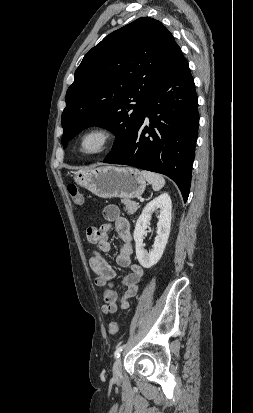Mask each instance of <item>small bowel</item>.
<instances>
[{"mask_svg":"<svg viewBox=\"0 0 253 413\" xmlns=\"http://www.w3.org/2000/svg\"><path fill=\"white\" fill-rule=\"evenodd\" d=\"M105 223L100 227L90 226L86 230V238L89 243L95 244L98 250L92 252L89 265L95 273V284L104 288V303L102 310L104 313H115L118 310H126L138 291V284L143 277V268L132 260V236L130 224L127 219L121 216L116 205H108L103 210ZM112 225L115 226L117 234L123 241V245L117 255L116 262L120 267L128 270L127 275L122 279V284L126 290L119 299L114 287L113 280L116 276L115 270L104 256L110 252L111 245L108 241V232Z\"/></svg>","mask_w":253,"mask_h":413,"instance_id":"c3829d8e","label":"small bowel"}]
</instances>
